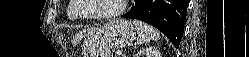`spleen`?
<instances>
[{
  "mask_svg": "<svg viewBox=\"0 0 249 57\" xmlns=\"http://www.w3.org/2000/svg\"><path fill=\"white\" fill-rule=\"evenodd\" d=\"M133 24L138 33L137 43L139 45L147 43L151 40L156 41L160 39L159 32L151 25H148L137 19L133 20Z\"/></svg>",
  "mask_w": 249,
  "mask_h": 57,
  "instance_id": "1",
  "label": "spleen"
}]
</instances>
